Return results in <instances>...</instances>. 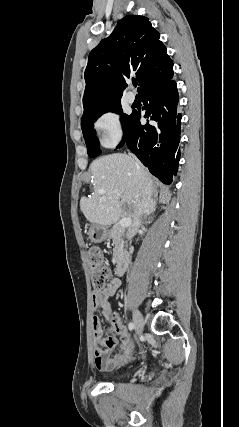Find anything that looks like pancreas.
Segmentation results:
<instances>
[{
  "label": "pancreas",
  "instance_id": "obj_1",
  "mask_svg": "<svg viewBox=\"0 0 239 427\" xmlns=\"http://www.w3.org/2000/svg\"><path fill=\"white\" fill-rule=\"evenodd\" d=\"M123 233V228L119 224L114 225L109 231V237L112 239V245L114 246L113 263H116L117 258L123 247Z\"/></svg>",
  "mask_w": 239,
  "mask_h": 427
}]
</instances>
